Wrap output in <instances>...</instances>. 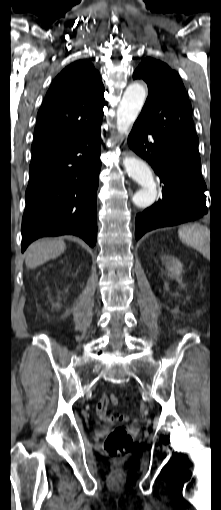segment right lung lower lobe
I'll return each mask as SVG.
<instances>
[{
  "label": "right lung lower lobe",
  "instance_id": "1",
  "mask_svg": "<svg viewBox=\"0 0 221 510\" xmlns=\"http://www.w3.org/2000/svg\"><path fill=\"white\" fill-rule=\"evenodd\" d=\"M100 153L101 122L70 140L33 152L21 228L22 252L38 238L66 234L79 236L94 247Z\"/></svg>",
  "mask_w": 221,
  "mask_h": 510
}]
</instances>
